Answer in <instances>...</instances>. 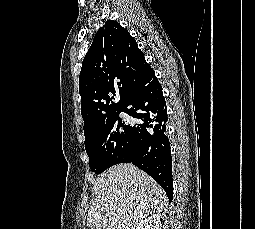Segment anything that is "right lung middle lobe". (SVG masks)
<instances>
[{"label": "right lung middle lobe", "instance_id": "obj_1", "mask_svg": "<svg viewBox=\"0 0 255 229\" xmlns=\"http://www.w3.org/2000/svg\"><path fill=\"white\" fill-rule=\"evenodd\" d=\"M120 112L113 114L85 140L89 167L96 174L122 163L132 155V126L119 118Z\"/></svg>", "mask_w": 255, "mask_h": 229}]
</instances>
